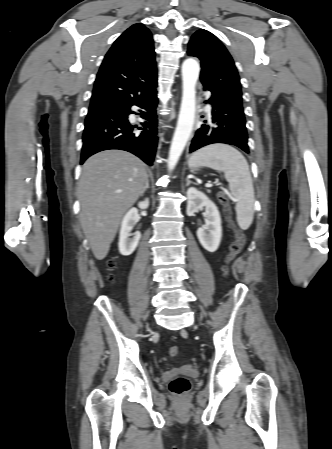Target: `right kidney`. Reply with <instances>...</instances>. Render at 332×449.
<instances>
[{
  "instance_id": "right-kidney-1",
  "label": "right kidney",
  "mask_w": 332,
  "mask_h": 449,
  "mask_svg": "<svg viewBox=\"0 0 332 449\" xmlns=\"http://www.w3.org/2000/svg\"><path fill=\"white\" fill-rule=\"evenodd\" d=\"M148 206V199H145L138 204V207L140 209H147ZM139 219L140 217L138 214V209L131 208L122 220L118 246L120 253L124 256L131 255L139 243V240L141 238L140 232H135L134 234L131 233V230L139 221Z\"/></svg>"
}]
</instances>
